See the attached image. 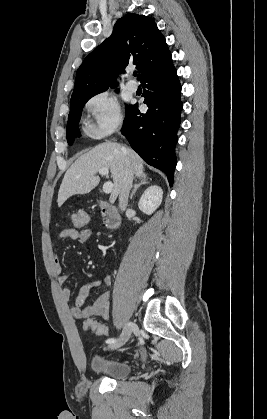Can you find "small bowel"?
<instances>
[{"mask_svg":"<svg viewBox=\"0 0 267 419\" xmlns=\"http://www.w3.org/2000/svg\"><path fill=\"white\" fill-rule=\"evenodd\" d=\"M93 236V231L90 229L77 230L73 228L62 230L58 239L70 238L74 241H86ZM54 272L57 276L58 282L62 287V296L65 300L69 301L71 298V289L66 287L70 274L62 272V268L58 259L54 260ZM112 285L111 276L107 275L102 279L93 280L83 285L75 299V303L70 308V312L75 319H86L93 316H98L103 319H107L110 315V297L111 292L108 288ZM103 286V292L89 305L84 306L86 299L88 298L91 289L95 287Z\"/></svg>","mask_w":267,"mask_h":419,"instance_id":"small-bowel-1","label":"small bowel"}]
</instances>
